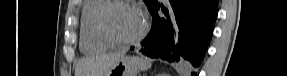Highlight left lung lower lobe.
Masks as SVG:
<instances>
[{
  "label": "left lung lower lobe",
  "instance_id": "1",
  "mask_svg": "<svg viewBox=\"0 0 287 76\" xmlns=\"http://www.w3.org/2000/svg\"><path fill=\"white\" fill-rule=\"evenodd\" d=\"M169 1L172 9H162L165 17L158 15V3L149 10L152 27L137 48L151 58L185 64L193 70L201 65L212 38L218 0Z\"/></svg>",
  "mask_w": 287,
  "mask_h": 76
}]
</instances>
